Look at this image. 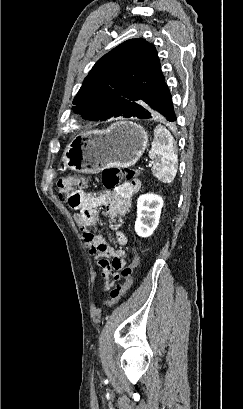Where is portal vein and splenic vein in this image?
Instances as JSON below:
<instances>
[{
  "instance_id": "portal-vein-and-splenic-vein-1",
  "label": "portal vein and splenic vein",
  "mask_w": 243,
  "mask_h": 409,
  "mask_svg": "<svg viewBox=\"0 0 243 409\" xmlns=\"http://www.w3.org/2000/svg\"><path fill=\"white\" fill-rule=\"evenodd\" d=\"M148 166L151 167V166H152V162H150Z\"/></svg>"
}]
</instances>
